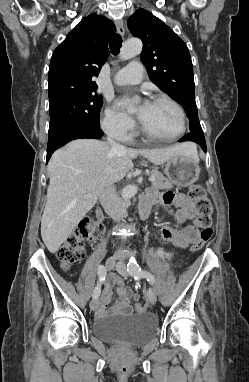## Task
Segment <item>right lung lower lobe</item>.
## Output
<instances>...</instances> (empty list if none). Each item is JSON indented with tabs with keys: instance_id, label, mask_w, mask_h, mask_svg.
<instances>
[{
	"instance_id": "1",
	"label": "right lung lower lobe",
	"mask_w": 249,
	"mask_h": 382,
	"mask_svg": "<svg viewBox=\"0 0 249 382\" xmlns=\"http://www.w3.org/2000/svg\"><path fill=\"white\" fill-rule=\"evenodd\" d=\"M102 136L103 131L100 129V125L83 124L67 127L55 133L49 134L47 146V162L55 150L62 147L71 140L81 138L98 139Z\"/></svg>"
}]
</instances>
